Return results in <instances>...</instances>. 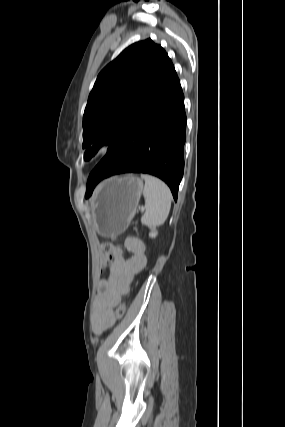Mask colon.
I'll return each instance as SVG.
<instances>
[{"label":"colon","mask_w":285,"mask_h":427,"mask_svg":"<svg viewBox=\"0 0 285 427\" xmlns=\"http://www.w3.org/2000/svg\"><path fill=\"white\" fill-rule=\"evenodd\" d=\"M121 248L113 243L105 242L101 244V255L103 261V270L110 263L112 259H116L121 255ZM126 312L124 303L119 304L114 312V321L121 319Z\"/></svg>","instance_id":"colon-1"}]
</instances>
